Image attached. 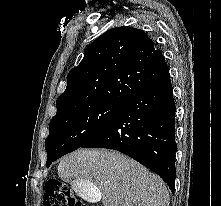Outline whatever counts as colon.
Wrapping results in <instances>:
<instances>
[{"label":"colon","instance_id":"colon-1","mask_svg":"<svg viewBox=\"0 0 221 206\" xmlns=\"http://www.w3.org/2000/svg\"><path fill=\"white\" fill-rule=\"evenodd\" d=\"M43 206H86L65 184L56 179L45 184Z\"/></svg>","mask_w":221,"mask_h":206}]
</instances>
